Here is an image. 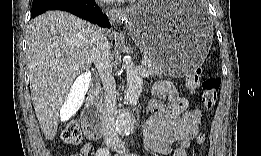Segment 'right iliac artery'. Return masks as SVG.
I'll return each instance as SVG.
<instances>
[{"label": "right iliac artery", "instance_id": "obj_1", "mask_svg": "<svg viewBox=\"0 0 261 156\" xmlns=\"http://www.w3.org/2000/svg\"><path fill=\"white\" fill-rule=\"evenodd\" d=\"M96 155L97 156H108L109 150H107L106 148H100L97 150Z\"/></svg>", "mask_w": 261, "mask_h": 156}]
</instances>
